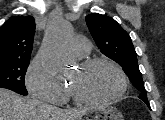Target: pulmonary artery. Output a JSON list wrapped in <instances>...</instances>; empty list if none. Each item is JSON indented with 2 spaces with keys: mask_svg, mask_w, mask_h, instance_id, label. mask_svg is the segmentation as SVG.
<instances>
[{
  "mask_svg": "<svg viewBox=\"0 0 165 120\" xmlns=\"http://www.w3.org/2000/svg\"><path fill=\"white\" fill-rule=\"evenodd\" d=\"M67 51L75 58H83L90 51L89 42L82 37L73 38L67 46Z\"/></svg>",
  "mask_w": 165,
  "mask_h": 120,
  "instance_id": "e3ab8cb5",
  "label": "pulmonary artery"
}]
</instances>
